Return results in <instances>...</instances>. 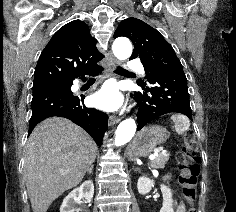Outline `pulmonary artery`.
<instances>
[{
    "label": "pulmonary artery",
    "mask_w": 236,
    "mask_h": 212,
    "mask_svg": "<svg viewBox=\"0 0 236 212\" xmlns=\"http://www.w3.org/2000/svg\"><path fill=\"white\" fill-rule=\"evenodd\" d=\"M127 67L134 69L141 74H144V68L140 62H136V61L128 62Z\"/></svg>",
    "instance_id": "pulmonary-artery-1"
}]
</instances>
